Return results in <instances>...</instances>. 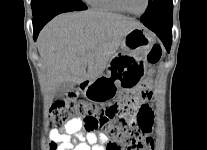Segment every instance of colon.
<instances>
[{
  "label": "colon",
  "instance_id": "obj_1",
  "mask_svg": "<svg viewBox=\"0 0 207 150\" xmlns=\"http://www.w3.org/2000/svg\"><path fill=\"white\" fill-rule=\"evenodd\" d=\"M163 51L154 45L148 55L150 64H157ZM151 87L135 94L124 96L121 100L100 105L93 101L69 96L58 100L50 110V122L54 127L62 126L69 120L78 118L89 131H103L109 138L105 150H153L154 139L149 135L155 124V106L151 104ZM150 95V96H149ZM51 150L57 149L52 141Z\"/></svg>",
  "mask_w": 207,
  "mask_h": 150
}]
</instances>
